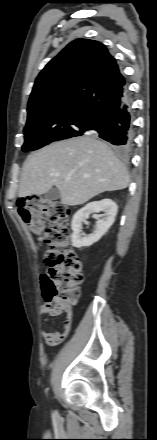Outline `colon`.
Masks as SVG:
<instances>
[{
	"label": "colon",
	"instance_id": "colon-1",
	"mask_svg": "<svg viewBox=\"0 0 157 440\" xmlns=\"http://www.w3.org/2000/svg\"><path fill=\"white\" fill-rule=\"evenodd\" d=\"M18 212L30 232L48 245L44 256L48 270L41 279L43 296L53 315L63 314L68 321L83 281L81 263L70 244L69 207L34 196L21 201Z\"/></svg>",
	"mask_w": 157,
	"mask_h": 440
}]
</instances>
